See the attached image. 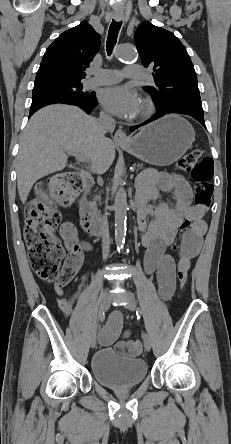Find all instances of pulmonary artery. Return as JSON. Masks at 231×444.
<instances>
[{"label": "pulmonary artery", "mask_w": 231, "mask_h": 444, "mask_svg": "<svg viewBox=\"0 0 231 444\" xmlns=\"http://www.w3.org/2000/svg\"><path fill=\"white\" fill-rule=\"evenodd\" d=\"M143 68L135 65L126 66L124 73L113 69L91 70L93 77L86 82V87L92 88L101 85L114 84L119 82L122 77L132 80H140L143 77Z\"/></svg>", "instance_id": "obj_1"}]
</instances>
